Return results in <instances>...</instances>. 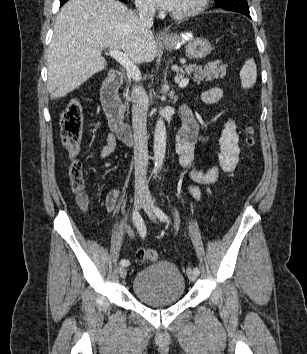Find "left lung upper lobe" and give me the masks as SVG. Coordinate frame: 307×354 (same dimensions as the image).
<instances>
[{"instance_id":"5c2ea615","label":"left lung upper lobe","mask_w":307,"mask_h":354,"mask_svg":"<svg viewBox=\"0 0 307 354\" xmlns=\"http://www.w3.org/2000/svg\"><path fill=\"white\" fill-rule=\"evenodd\" d=\"M215 1L217 7L226 10L249 12L247 0H215Z\"/></svg>"}]
</instances>
